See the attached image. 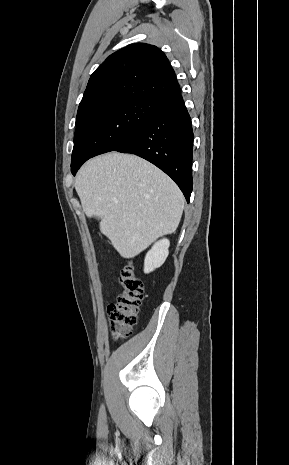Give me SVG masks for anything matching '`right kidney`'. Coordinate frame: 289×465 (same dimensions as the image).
I'll return each mask as SVG.
<instances>
[{
	"label": "right kidney",
	"mask_w": 289,
	"mask_h": 465,
	"mask_svg": "<svg viewBox=\"0 0 289 465\" xmlns=\"http://www.w3.org/2000/svg\"><path fill=\"white\" fill-rule=\"evenodd\" d=\"M170 242L168 239H162L156 242L151 250L148 251L144 261V272L150 273L159 268L166 260L169 251Z\"/></svg>",
	"instance_id": "ca27d5eb"
}]
</instances>
